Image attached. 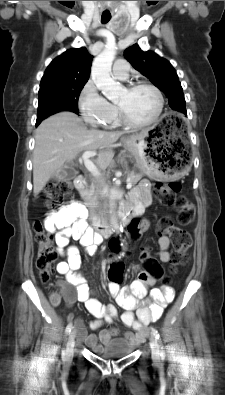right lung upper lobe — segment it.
Segmentation results:
<instances>
[{"instance_id": "cb5924a9", "label": "right lung upper lobe", "mask_w": 225, "mask_h": 395, "mask_svg": "<svg viewBox=\"0 0 225 395\" xmlns=\"http://www.w3.org/2000/svg\"><path fill=\"white\" fill-rule=\"evenodd\" d=\"M93 56L85 47L65 51L47 67L40 85L87 82Z\"/></svg>"}]
</instances>
